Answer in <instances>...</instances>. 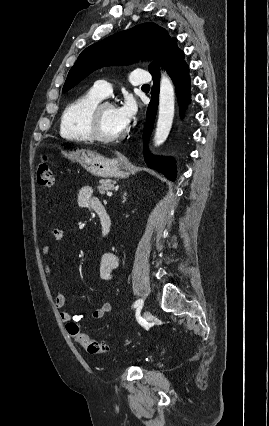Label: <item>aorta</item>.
I'll return each instance as SVG.
<instances>
[{"instance_id":"aorta-1","label":"aorta","mask_w":269,"mask_h":426,"mask_svg":"<svg viewBox=\"0 0 269 426\" xmlns=\"http://www.w3.org/2000/svg\"><path fill=\"white\" fill-rule=\"evenodd\" d=\"M174 95V87L171 79L165 72H162L160 80L158 121L154 135L155 146L163 144L170 133L175 109Z\"/></svg>"}]
</instances>
